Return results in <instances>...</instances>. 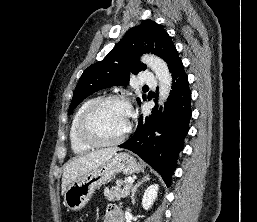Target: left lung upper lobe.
<instances>
[{
    "label": "left lung upper lobe",
    "mask_w": 257,
    "mask_h": 222,
    "mask_svg": "<svg viewBox=\"0 0 257 222\" xmlns=\"http://www.w3.org/2000/svg\"><path fill=\"white\" fill-rule=\"evenodd\" d=\"M147 52L163 58L168 68L180 59L168 33L154 21L144 20L128 30L102 61L83 72L74 90L68 114L92 93L115 85H126L130 72L138 74L146 69V65L139 61V56ZM137 101L141 103L139 98Z\"/></svg>",
    "instance_id": "5c2ea615"
}]
</instances>
